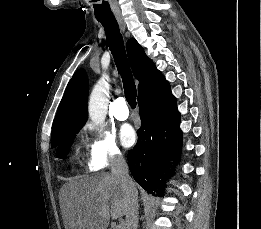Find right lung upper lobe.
<instances>
[{"label": "right lung upper lobe", "instance_id": "1", "mask_svg": "<svg viewBox=\"0 0 261 229\" xmlns=\"http://www.w3.org/2000/svg\"><path fill=\"white\" fill-rule=\"evenodd\" d=\"M129 63L133 74L139 80L138 95L158 84L164 76L146 56L143 48L135 39L126 44ZM88 78L84 69L76 71L69 81L60 102L52 130V148L60 145L63 140L57 134L62 126L84 125L87 121Z\"/></svg>", "mask_w": 261, "mask_h": 229}]
</instances>
